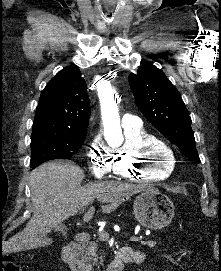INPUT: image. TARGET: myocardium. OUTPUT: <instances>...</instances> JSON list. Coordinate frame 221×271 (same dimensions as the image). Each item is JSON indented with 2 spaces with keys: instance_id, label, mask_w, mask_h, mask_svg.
Returning a JSON list of instances; mask_svg holds the SVG:
<instances>
[{
  "instance_id": "f54148a6",
  "label": "myocardium",
  "mask_w": 221,
  "mask_h": 271,
  "mask_svg": "<svg viewBox=\"0 0 221 271\" xmlns=\"http://www.w3.org/2000/svg\"><path fill=\"white\" fill-rule=\"evenodd\" d=\"M156 140H162V139L158 138ZM170 151L171 150H168V145H154L153 144L152 150H150L148 153H145V155L141 153L138 157L135 156L133 159L138 164H140V169L144 171L143 174H145V172L148 169L151 170L152 165L157 171L156 173L161 174L162 173L161 171L163 169H168L169 163L167 161L171 159L172 156H164V155L166 153H170ZM158 168H160V170H158Z\"/></svg>"
}]
</instances>
